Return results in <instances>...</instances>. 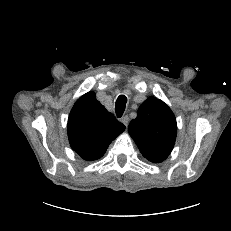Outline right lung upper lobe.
<instances>
[{"mask_svg":"<svg viewBox=\"0 0 231 231\" xmlns=\"http://www.w3.org/2000/svg\"><path fill=\"white\" fill-rule=\"evenodd\" d=\"M67 128L72 149L84 160L92 161L104 155L125 126L96 100L94 92H88L74 104Z\"/></svg>","mask_w":231,"mask_h":231,"instance_id":"1","label":"right lung upper lobe"}]
</instances>
